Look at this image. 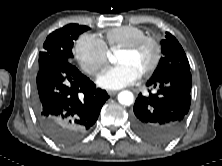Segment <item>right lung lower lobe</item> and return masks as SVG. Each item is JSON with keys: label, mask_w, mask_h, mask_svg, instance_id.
Returning <instances> with one entry per match:
<instances>
[{"label": "right lung lower lobe", "mask_w": 222, "mask_h": 166, "mask_svg": "<svg viewBox=\"0 0 222 166\" xmlns=\"http://www.w3.org/2000/svg\"><path fill=\"white\" fill-rule=\"evenodd\" d=\"M109 98L70 62L39 68L33 107L44 133L60 144L82 138L95 124Z\"/></svg>", "instance_id": "1"}]
</instances>
